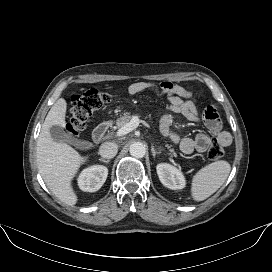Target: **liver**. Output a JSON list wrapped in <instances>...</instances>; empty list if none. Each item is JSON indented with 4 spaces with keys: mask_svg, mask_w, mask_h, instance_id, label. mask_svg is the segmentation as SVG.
Returning a JSON list of instances; mask_svg holds the SVG:
<instances>
[{
    "mask_svg": "<svg viewBox=\"0 0 272 272\" xmlns=\"http://www.w3.org/2000/svg\"><path fill=\"white\" fill-rule=\"evenodd\" d=\"M67 103L58 99L48 112L37 140V166L49 190L63 203L73 206L77 195L72 180L88 157L81 156L66 143L56 142L51 134L52 126L65 127Z\"/></svg>",
    "mask_w": 272,
    "mask_h": 272,
    "instance_id": "obj_1",
    "label": "liver"
}]
</instances>
